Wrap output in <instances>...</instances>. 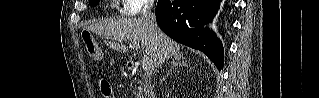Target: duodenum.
<instances>
[{
	"label": "duodenum",
	"instance_id": "410a0bca",
	"mask_svg": "<svg viewBox=\"0 0 319 98\" xmlns=\"http://www.w3.org/2000/svg\"><path fill=\"white\" fill-rule=\"evenodd\" d=\"M126 66H127V69L130 70V71H132L135 68L133 62H128Z\"/></svg>",
	"mask_w": 319,
	"mask_h": 98
}]
</instances>
